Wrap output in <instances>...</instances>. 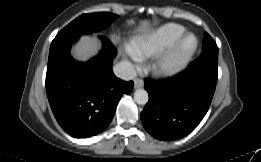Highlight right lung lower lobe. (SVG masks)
Here are the masks:
<instances>
[{
  "label": "right lung lower lobe",
  "mask_w": 261,
  "mask_h": 162,
  "mask_svg": "<svg viewBox=\"0 0 261 162\" xmlns=\"http://www.w3.org/2000/svg\"><path fill=\"white\" fill-rule=\"evenodd\" d=\"M80 35L55 37L47 66L46 92L59 125L76 138L97 135L110 124L122 94L130 93L132 81L118 79L112 71L115 50L103 36L102 51L87 63L70 56Z\"/></svg>",
  "instance_id": "98d812e1"
}]
</instances>
